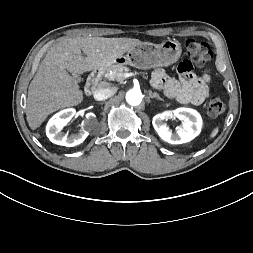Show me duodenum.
I'll list each match as a JSON object with an SVG mask.
<instances>
[{"label":"duodenum","instance_id":"1","mask_svg":"<svg viewBox=\"0 0 253 253\" xmlns=\"http://www.w3.org/2000/svg\"><path fill=\"white\" fill-rule=\"evenodd\" d=\"M102 75H103L102 69H96L95 71L91 73V75L89 76L86 82L85 89H84V92L87 96L91 95L94 92Z\"/></svg>","mask_w":253,"mask_h":253}]
</instances>
